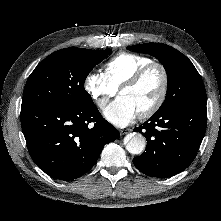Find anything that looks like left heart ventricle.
I'll list each match as a JSON object with an SVG mask.
<instances>
[{
	"label": "left heart ventricle",
	"mask_w": 221,
	"mask_h": 221,
	"mask_svg": "<svg viewBox=\"0 0 221 221\" xmlns=\"http://www.w3.org/2000/svg\"><path fill=\"white\" fill-rule=\"evenodd\" d=\"M162 84V73L158 68H154L137 85L124 89L120 95L128 98L139 113L149 108L156 101L161 92Z\"/></svg>",
	"instance_id": "left-heart-ventricle-1"
}]
</instances>
